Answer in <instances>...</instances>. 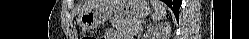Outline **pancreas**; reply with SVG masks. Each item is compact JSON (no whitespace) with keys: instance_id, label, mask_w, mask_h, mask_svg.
<instances>
[{"instance_id":"1","label":"pancreas","mask_w":249,"mask_h":39,"mask_svg":"<svg viewBox=\"0 0 249 39\" xmlns=\"http://www.w3.org/2000/svg\"><path fill=\"white\" fill-rule=\"evenodd\" d=\"M110 23L122 36L126 37L133 36L141 29L138 20H133L128 17L113 18L110 20Z\"/></svg>"}]
</instances>
